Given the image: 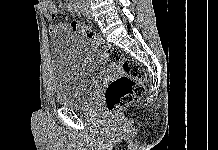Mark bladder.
<instances>
[{
	"label": "bladder",
	"mask_w": 218,
	"mask_h": 150,
	"mask_svg": "<svg viewBox=\"0 0 218 150\" xmlns=\"http://www.w3.org/2000/svg\"><path fill=\"white\" fill-rule=\"evenodd\" d=\"M57 68L54 98L57 105L78 109L87 106L115 65L85 38L59 32L52 40Z\"/></svg>",
	"instance_id": "obj_1"
}]
</instances>
